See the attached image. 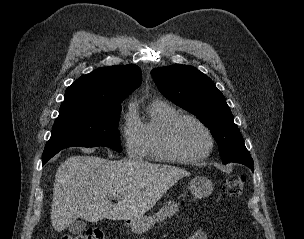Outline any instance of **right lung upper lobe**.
<instances>
[{
  "mask_svg": "<svg viewBox=\"0 0 304 239\" xmlns=\"http://www.w3.org/2000/svg\"><path fill=\"white\" fill-rule=\"evenodd\" d=\"M141 80V70L136 65L99 68L66 89L60 112L120 106Z\"/></svg>",
  "mask_w": 304,
  "mask_h": 239,
  "instance_id": "cb5924a9",
  "label": "right lung upper lobe"
}]
</instances>
